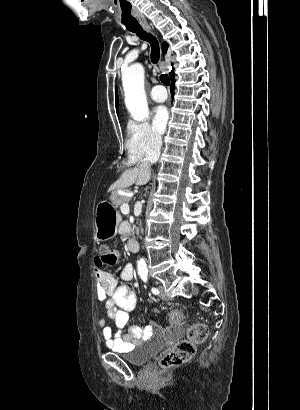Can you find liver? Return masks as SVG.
<instances>
[{"label":"liver","instance_id":"liver-1","mask_svg":"<svg viewBox=\"0 0 300 410\" xmlns=\"http://www.w3.org/2000/svg\"><path fill=\"white\" fill-rule=\"evenodd\" d=\"M151 177L150 169H143L138 167L126 169L120 178L110 187V190L124 189L133 184L138 186L145 185L149 182Z\"/></svg>","mask_w":300,"mask_h":410}]
</instances>
